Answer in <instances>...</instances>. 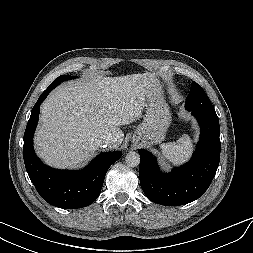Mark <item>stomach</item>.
I'll list each match as a JSON object with an SVG mask.
<instances>
[{"instance_id":"0dacf381","label":"stomach","mask_w":253,"mask_h":253,"mask_svg":"<svg viewBox=\"0 0 253 253\" xmlns=\"http://www.w3.org/2000/svg\"><path fill=\"white\" fill-rule=\"evenodd\" d=\"M145 107L143 122L134 132L132 141H140L147 145L161 143L171 124V113L160 85L146 94Z\"/></svg>"}]
</instances>
